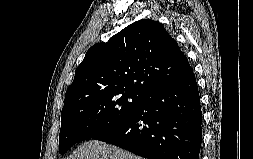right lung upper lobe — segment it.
Returning a JSON list of instances; mask_svg holds the SVG:
<instances>
[{
  "mask_svg": "<svg viewBox=\"0 0 253 159\" xmlns=\"http://www.w3.org/2000/svg\"><path fill=\"white\" fill-rule=\"evenodd\" d=\"M192 72L186 56L164 26L142 19L87 51L66 91L64 104L109 91H132L145 96Z\"/></svg>",
  "mask_w": 253,
  "mask_h": 159,
  "instance_id": "right-lung-upper-lobe-1",
  "label": "right lung upper lobe"
}]
</instances>
